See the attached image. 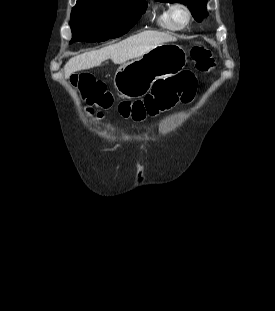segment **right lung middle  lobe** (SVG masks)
I'll list each match as a JSON object with an SVG mask.
<instances>
[{"instance_id": "dd1d6c3e", "label": "right lung middle lobe", "mask_w": 275, "mask_h": 311, "mask_svg": "<svg viewBox=\"0 0 275 311\" xmlns=\"http://www.w3.org/2000/svg\"><path fill=\"white\" fill-rule=\"evenodd\" d=\"M145 0H91L76 4L72 41L100 42L125 34L146 10Z\"/></svg>"}]
</instances>
